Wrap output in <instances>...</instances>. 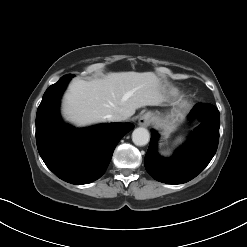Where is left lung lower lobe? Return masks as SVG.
<instances>
[{
	"label": "left lung lower lobe",
	"instance_id": "obj_1",
	"mask_svg": "<svg viewBox=\"0 0 247 247\" xmlns=\"http://www.w3.org/2000/svg\"><path fill=\"white\" fill-rule=\"evenodd\" d=\"M189 116L199 117L202 123L171 158H162L157 154L158 135L152 131L144 164L155 180L168 184L186 183L202 172L215 155L220 127L218 109L211 104L199 103L193 107Z\"/></svg>",
	"mask_w": 247,
	"mask_h": 247
}]
</instances>
